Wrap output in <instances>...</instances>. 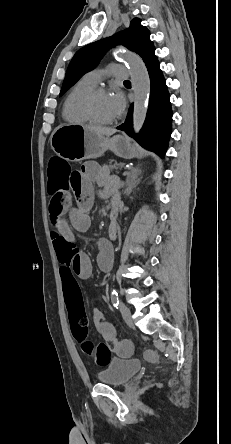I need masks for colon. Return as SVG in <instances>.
I'll use <instances>...</instances> for the list:
<instances>
[{
    "label": "colon",
    "mask_w": 231,
    "mask_h": 444,
    "mask_svg": "<svg viewBox=\"0 0 231 444\" xmlns=\"http://www.w3.org/2000/svg\"><path fill=\"white\" fill-rule=\"evenodd\" d=\"M78 172L60 159L52 158L48 165V194L51 197L50 209L55 210L61 203L63 191L70 188ZM70 327L73 337L81 349L99 366L106 365L112 352L129 353L133 345L129 341H106L94 344L88 339L89 320L80 296H66ZM148 358L154 359L155 353L149 351Z\"/></svg>",
    "instance_id": "5ec220e1"
}]
</instances>
